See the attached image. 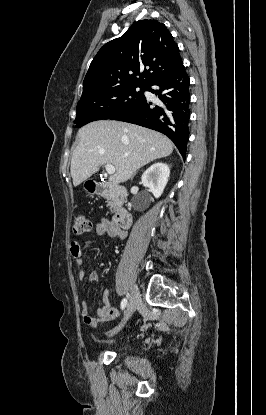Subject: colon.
Here are the masks:
<instances>
[{"mask_svg":"<svg viewBox=\"0 0 266 415\" xmlns=\"http://www.w3.org/2000/svg\"><path fill=\"white\" fill-rule=\"evenodd\" d=\"M91 230V222L82 215L76 216L73 220L72 234L74 236H81Z\"/></svg>","mask_w":266,"mask_h":415,"instance_id":"5ec220e1","label":"colon"}]
</instances>
